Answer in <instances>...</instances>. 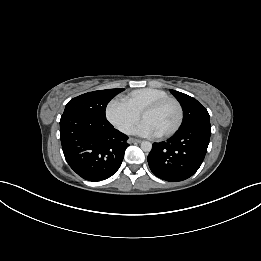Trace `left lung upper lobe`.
<instances>
[{"label":"left lung upper lobe","mask_w":261,"mask_h":261,"mask_svg":"<svg viewBox=\"0 0 261 261\" xmlns=\"http://www.w3.org/2000/svg\"><path fill=\"white\" fill-rule=\"evenodd\" d=\"M170 92L180 102L183 109L184 120L181 127L210 122L208 111L196 99L175 90H170Z\"/></svg>","instance_id":"5c2ea615"}]
</instances>
